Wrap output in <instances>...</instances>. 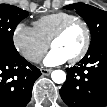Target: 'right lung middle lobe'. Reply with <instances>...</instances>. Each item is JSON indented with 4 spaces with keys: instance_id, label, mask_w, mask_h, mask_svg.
<instances>
[{
    "instance_id": "1",
    "label": "right lung middle lobe",
    "mask_w": 107,
    "mask_h": 107,
    "mask_svg": "<svg viewBox=\"0 0 107 107\" xmlns=\"http://www.w3.org/2000/svg\"><path fill=\"white\" fill-rule=\"evenodd\" d=\"M29 13L18 7L8 4L0 5V53L8 56H17L13 44V33L21 20L26 18Z\"/></svg>"
}]
</instances>
